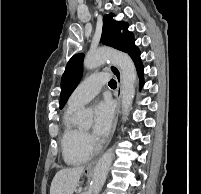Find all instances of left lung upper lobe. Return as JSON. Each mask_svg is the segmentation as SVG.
Wrapping results in <instances>:
<instances>
[{
	"label": "left lung upper lobe",
	"mask_w": 201,
	"mask_h": 194,
	"mask_svg": "<svg viewBox=\"0 0 201 194\" xmlns=\"http://www.w3.org/2000/svg\"><path fill=\"white\" fill-rule=\"evenodd\" d=\"M127 28V23L113 20L112 13L105 15L103 17L101 43L129 54L135 47V44L133 34ZM121 29L124 30L123 33H121ZM83 58V54H77L67 63L61 79L60 109L64 107L68 97L74 91L82 77Z\"/></svg>",
	"instance_id": "obj_1"
}]
</instances>
